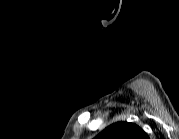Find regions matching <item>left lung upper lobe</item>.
Returning a JSON list of instances; mask_svg holds the SVG:
<instances>
[{
  "label": "left lung upper lobe",
  "instance_id": "obj_1",
  "mask_svg": "<svg viewBox=\"0 0 179 139\" xmlns=\"http://www.w3.org/2000/svg\"><path fill=\"white\" fill-rule=\"evenodd\" d=\"M105 139H145L146 133L136 124L129 122H117L108 126L99 134Z\"/></svg>",
  "mask_w": 179,
  "mask_h": 139
}]
</instances>
